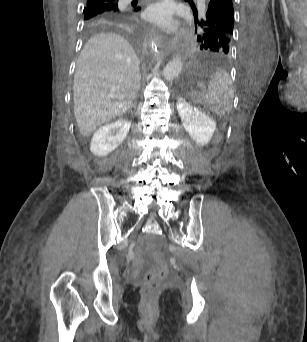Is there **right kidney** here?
<instances>
[{
    "mask_svg": "<svg viewBox=\"0 0 307 342\" xmlns=\"http://www.w3.org/2000/svg\"><path fill=\"white\" fill-rule=\"evenodd\" d=\"M130 126L131 122L129 120H117V122H111V124L102 126L93 134L90 152L95 154V156H108L110 152H113L125 140ZM113 132H115V136H112Z\"/></svg>",
    "mask_w": 307,
    "mask_h": 342,
    "instance_id": "ca27d5eb",
    "label": "right kidney"
}]
</instances>
